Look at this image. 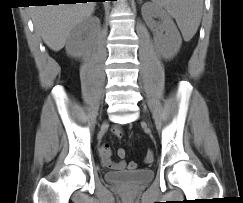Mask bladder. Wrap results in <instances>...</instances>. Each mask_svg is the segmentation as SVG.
<instances>
[{"label": "bladder", "mask_w": 243, "mask_h": 203, "mask_svg": "<svg viewBox=\"0 0 243 203\" xmlns=\"http://www.w3.org/2000/svg\"><path fill=\"white\" fill-rule=\"evenodd\" d=\"M108 183L114 184H144L154 179L152 169H139L134 171H109L104 174Z\"/></svg>", "instance_id": "31cf9c89"}]
</instances>
